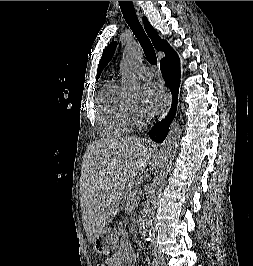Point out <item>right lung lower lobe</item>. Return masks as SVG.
<instances>
[{
	"instance_id": "obj_1",
	"label": "right lung lower lobe",
	"mask_w": 253,
	"mask_h": 266,
	"mask_svg": "<svg viewBox=\"0 0 253 266\" xmlns=\"http://www.w3.org/2000/svg\"><path fill=\"white\" fill-rule=\"evenodd\" d=\"M160 68L165 82L172 93V105L167 117L154 125L150 130L149 136L156 142H163L166 138L169 126L176 114L178 89L180 84V60L177 54H173L171 57L162 60Z\"/></svg>"
}]
</instances>
